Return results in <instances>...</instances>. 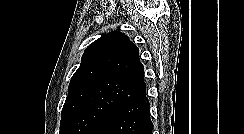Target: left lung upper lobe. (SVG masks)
I'll return each mask as SVG.
<instances>
[{
  "label": "left lung upper lobe",
  "mask_w": 244,
  "mask_h": 134,
  "mask_svg": "<svg viewBox=\"0 0 244 134\" xmlns=\"http://www.w3.org/2000/svg\"><path fill=\"white\" fill-rule=\"evenodd\" d=\"M143 72L139 49L122 32L94 41L71 78L60 134H96L117 108L146 93Z\"/></svg>",
  "instance_id": "1"
}]
</instances>
